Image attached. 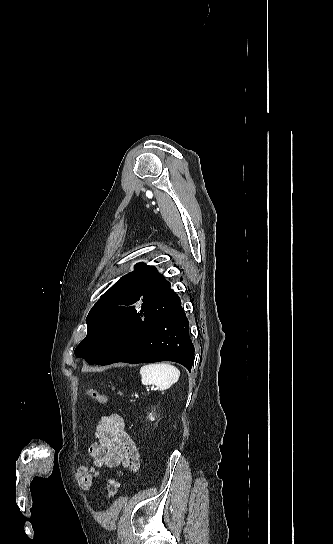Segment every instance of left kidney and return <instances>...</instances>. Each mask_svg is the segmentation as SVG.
<instances>
[{
    "mask_svg": "<svg viewBox=\"0 0 333 544\" xmlns=\"http://www.w3.org/2000/svg\"><path fill=\"white\" fill-rule=\"evenodd\" d=\"M150 420L153 421L154 420V417L150 414Z\"/></svg>",
    "mask_w": 333,
    "mask_h": 544,
    "instance_id": "1",
    "label": "left kidney"
}]
</instances>
